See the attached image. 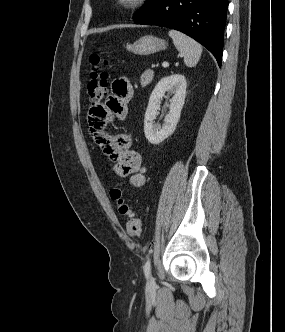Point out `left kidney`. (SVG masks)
Returning <instances> with one entry per match:
<instances>
[{"instance_id": "left-kidney-1", "label": "left kidney", "mask_w": 285, "mask_h": 332, "mask_svg": "<svg viewBox=\"0 0 285 332\" xmlns=\"http://www.w3.org/2000/svg\"><path fill=\"white\" fill-rule=\"evenodd\" d=\"M187 82L184 75L173 74L162 78L152 91L144 118V133L147 140L157 145L168 138L176 129L186 97ZM165 93H172L170 111L162 127L154 125L157 104Z\"/></svg>"}]
</instances>
